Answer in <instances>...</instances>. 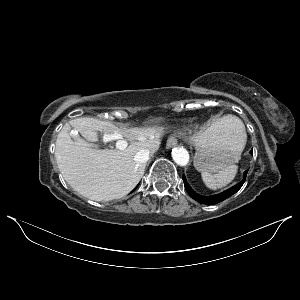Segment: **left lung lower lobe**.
Listing matches in <instances>:
<instances>
[{"mask_svg":"<svg viewBox=\"0 0 300 300\" xmlns=\"http://www.w3.org/2000/svg\"><path fill=\"white\" fill-rule=\"evenodd\" d=\"M251 153H252V151H251ZM247 172L248 171L244 172L243 179L240 183L236 184L235 186L231 187L230 189H228L220 194L211 195V196H202V195H199L196 192H194L192 190V188L188 185L184 176H183V181H184V186H185L186 191L194 200L198 201L201 204L214 205V204L222 202L223 200H225L228 197L235 194L244 184Z\"/></svg>","mask_w":300,"mask_h":300,"instance_id":"obj_1","label":"left lung lower lobe"}]
</instances>
